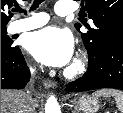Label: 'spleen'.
Wrapping results in <instances>:
<instances>
[{"label": "spleen", "mask_w": 123, "mask_h": 113, "mask_svg": "<svg viewBox=\"0 0 123 113\" xmlns=\"http://www.w3.org/2000/svg\"><path fill=\"white\" fill-rule=\"evenodd\" d=\"M96 97H113L121 113H123V92L115 89H102L94 93Z\"/></svg>", "instance_id": "spleen-1"}]
</instances>
